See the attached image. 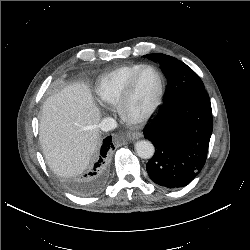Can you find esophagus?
<instances>
[{
    "label": "esophagus",
    "instance_id": "obj_1",
    "mask_svg": "<svg viewBox=\"0 0 250 250\" xmlns=\"http://www.w3.org/2000/svg\"><path fill=\"white\" fill-rule=\"evenodd\" d=\"M142 137V133L140 132H129L127 133V138L129 140H136Z\"/></svg>",
    "mask_w": 250,
    "mask_h": 250
}]
</instances>
